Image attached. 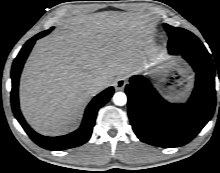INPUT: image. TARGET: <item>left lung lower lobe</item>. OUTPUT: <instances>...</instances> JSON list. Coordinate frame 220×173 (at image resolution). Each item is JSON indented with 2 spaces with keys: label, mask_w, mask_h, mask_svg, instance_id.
<instances>
[{
  "label": "left lung lower lobe",
  "mask_w": 220,
  "mask_h": 173,
  "mask_svg": "<svg viewBox=\"0 0 220 173\" xmlns=\"http://www.w3.org/2000/svg\"><path fill=\"white\" fill-rule=\"evenodd\" d=\"M179 54L196 72L195 88L187 104L168 103L142 76H133L126 86L133 130L141 141L150 145L183 146L200 132L214 113L215 68L210 54L186 50Z\"/></svg>",
  "instance_id": "obj_1"
}]
</instances>
